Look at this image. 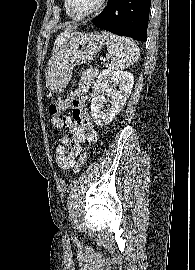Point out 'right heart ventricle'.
<instances>
[{"label": "right heart ventricle", "mask_w": 195, "mask_h": 270, "mask_svg": "<svg viewBox=\"0 0 195 270\" xmlns=\"http://www.w3.org/2000/svg\"><path fill=\"white\" fill-rule=\"evenodd\" d=\"M65 8H66V5H65ZM66 12H67V14H68L72 19L78 20V19L74 18V17L68 12L67 8H66Z\"/></svg>", "instance_id": "e07e8e85"}]
</instances>
